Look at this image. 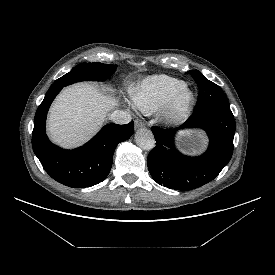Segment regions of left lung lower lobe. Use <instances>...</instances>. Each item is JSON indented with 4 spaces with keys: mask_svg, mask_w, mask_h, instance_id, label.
<instances>
[{
    "mask_svg": "<svg viewBox=\"0 0 275 275\" xmlns=\"http://www.w3.org/2000/svg\"><path fill=\"white\" fill-rule=\"evenodd\" d=\"M194 127L204 129L210 139L207 151L198 157L185 156L175 148L174 135L178 129L151 128L156 146L150 151L147 164L158 184L175 190H192L213 180L230 161L235 134L231 110L202 111L195 107L180 129Z\"/></svg>",
    "mask_w": 275,
    "mask_h": 275,
    "instance_id": "1",
    "label": "left lung lower lobe"
}]
</instances>
